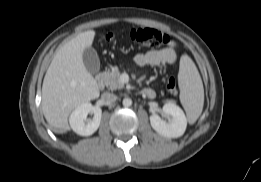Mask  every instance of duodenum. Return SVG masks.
<instances>
[{"instance_id": "obj_1", "label": "duodenum", "mask_w": 261, "mask_h": 182, "mask_svg": "<svg viewBox=\"0 0 261 182\" xmlns=\"http://www.w3.org/2000/svg\"><path fill=\"white\" fill-rule=\"evenodd\" d=\"M96 84H97V86H98L99 88H102V87H103L104 81H103V78H102L101 75H98V76L96 77ZM141 93L144 94V95L147 96V97H153V96H154V92H153L151 89H149V88H146V89L141 90Z\"/></svg>"}]
</instances>
